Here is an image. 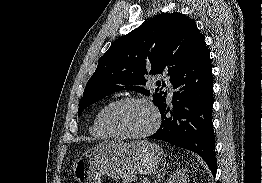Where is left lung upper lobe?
I'll list each match as a JSON object with an SVG mask.
<instances>
[{"label":"left lung upper lobe","mask_w":262,"mask_h":183,"mask_svg":"<svg viewBox=\"0 0 262 183\" xmlns=\"http://www.w3.org/2000/svg\"><path fill=\"white\" fill-rule=\"evenodd\" d=\"M205 47L204 36L195 22L181 13H165L146 21L114 41L99 59L79 102L78 116L88 106L119 90L149 96L150 91L144 88L149 73L166 72L172 82ZM157 85L153 102L160 108L166 102V94L160 91L165 84L158 81Z\"/></svg>","instance_id":"left-lung-upper-lobe-1"}]
</instances>
